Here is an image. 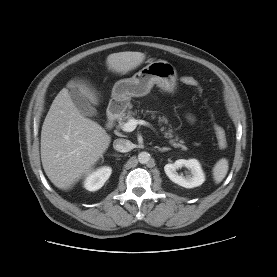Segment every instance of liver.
Segmentation results:
<instances>
[{"label": "liver", "mask_w": 277, "mask_h": 277, "mask_svg": "<svg viewBox=\"0 0 277 277\" xmlns=\"http://www.w3.org/2000/svg\"><path fill=\"white\" fill-rule=\"evenodd\" d=\"M144 59V53L126 51L110 54L106 64L113 72L127 73ZM67 88H78L82 95L97 104L95 94L85 84L70 81ZM67 88L53 100L41 131L43 169L49 180L63 190L88 175L111 142L101 125L76 108Z\"/></svg>", "instance_id": "6515ba94"}]
</instances>
